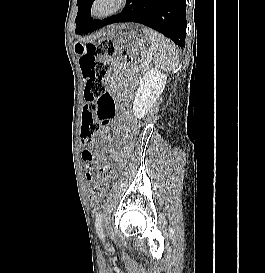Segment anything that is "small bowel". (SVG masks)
Wrapping results in <instances>:
<instances>
[{
	"label": "small bowel",
	"instance_id": "obj_1",
	"mask_svg": "<svg viewBox=\"0 0 265 273\" xmlns=\"http://www.w3.org/2000/svg\"><path fill=\"white\" fill-rule=\"evenodd\" d=\"M104 61L111 63V60L109 58H104ZM117 80H118V75L116 73V71L113 69L111 70V72L109 73V75L107 76L106 82L107 85L109 87V89H114L117 86ZM109 127H105L102 131V136L105 138L109 132Z\"/></svg>",
	"mask_w": 265,
	"mask_h": 273
}]
</instances>
